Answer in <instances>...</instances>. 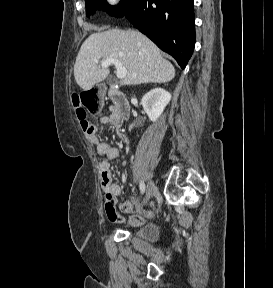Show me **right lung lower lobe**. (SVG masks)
I'll list each match as a JSON object with an SVG mask.
<instances>
[{
	"instance_id": "right-lung-lower-lobe-1",
	"label": "right lung lower lobe",
	"mask_w": 273,
	"mask_h": 288,
	"mask_svg": "<svg viewBox=\"0 0 273 288\" xmlns=\"http://www.w3.org/2000/svg\"><path fill=\"white\" fill-rule=\"evenodd\" d=\"M123 17L186 67L195 45L193 0H136Z\"/></svg>"
}]
</instances>
